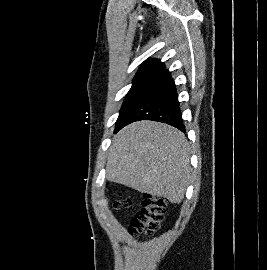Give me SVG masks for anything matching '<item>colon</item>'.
Returning a JSON list of instances; mask_svg holds the SVG:
<instances>
[{"label":"colon","instance_id":"obj_1","mask_svg":"<svg viewBox=\"0 0 267 270\" xmlns=\"http://www.w3.org/2000/svg\"><path fill=\"white\" fill-rule=\"evenodd\" d=\"M130 199H120L113 202L115 208L128 207ZM166 203L163 198L145 196L142 208L137 212L129 225V233L134 236H151L161 226L165 216Z\"/></svg>","mask_w":267,"mask_h":270}]
</instances>
